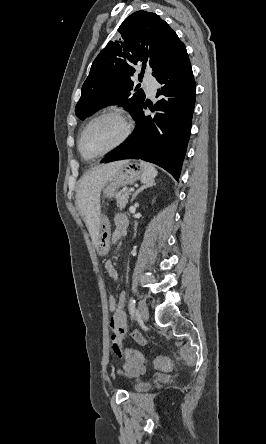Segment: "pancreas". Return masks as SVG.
I'll use <instances>...</instances> for the list:
<instances>
[{
  "mask_svg": "<svg viewBox=\"0 0 266 444\" xmlns=\"http://www.w3.org/2000/svg\"><path fill=\"white\" fill-rule=\"evenodd\" d=\"M129 194L130 193L128 191H126V192H119L115 195L117 207L120 210H123L126 207V205L128 203V199H129Z\"/></svg>",
  "mask_w": 266,
  "mask_h": 444,
  "instance_id": "obj_1",
  "label": "pancreas"
}]
</instances>
